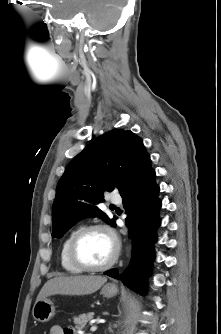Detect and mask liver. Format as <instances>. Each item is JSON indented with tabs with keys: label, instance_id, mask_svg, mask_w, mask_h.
<instances>
[{
	"label": "liver",
	"instance_id": "liver-1",
	"mask_svg": "<svg viewBox=\"0 0 221 334\" xmlns=\"http://www.w3.org/2000/svg\"><path fill=\"white\" fill-rule=\"evenodd\" d=\"M107 281L106 277L102 276H69V277H55L48 280L42 287L37 296V300H42L48 296L55 294L62 295H85L91 294L100 289V287Z\"/></svg>",
	"mask_w": 221,
	"mask_h": 334
}]
</instances>
